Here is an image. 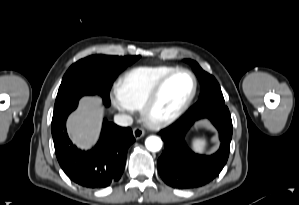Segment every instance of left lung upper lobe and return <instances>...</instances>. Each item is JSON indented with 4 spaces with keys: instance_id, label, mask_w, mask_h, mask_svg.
<instances>
[{
    "instance_id": "obj_1",
    "label": "left lung upper lobe",
    "mask_w": 299,
    "mask_h": 205,
    "mask_svg": "<svg viewBox=\"0 0 299 205\" xmlns=\"http://www.w3.org/2000/svg\"><path fill=\"white\" fill-rule=\"evenodd\" d=\"M185 61L192 66L202 87L199 100L190 109L192 111H199L212 106L225 105L220 86L216 79L209 73L202 70L197 62L190 59H186Z\"/></svg>"
}]
</instances>
